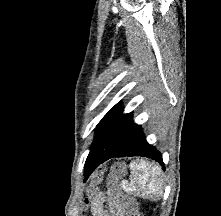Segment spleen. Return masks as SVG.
Masks as SVG:
<instances>
[{"mask_svg":"<svg viewBox=\"0 0 221 216\" xmlns=\"http://www.w3.org/2000/svg\"><path fill=\"white\" fill-rule=\"evenodd\" d=\"M130 169L131 183L128 184L126 181H122V186L126 191L143 198L163 195L162 170L159 165L140 159L132 162Z\"/></svg>","mask_w":221,"mask_h":216,"instance_id":"obj_1","label":"spleen"}]
</instances>
